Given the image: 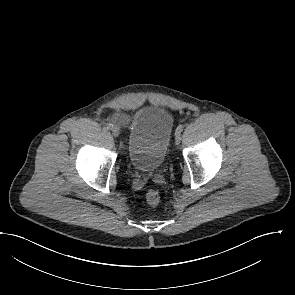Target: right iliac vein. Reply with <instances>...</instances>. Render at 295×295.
Here are the masks:
<instances>
[{
    "label": "right iliac vein",
    "instance_id": "1",
    "mask_svg": "<svg viewBox=\"0 0 295 295\" xmlns=\"http://www.w3.org/2000/svg\"><path fill=\"white\" fill-rule=\"evenodd\" d=\"M112 134H113L114 137H118L120 135V129H119V127H114L112 129Z\"/></svg>",
    "mask_w": 295,
    "mask_h": 295
}]
</instances>
